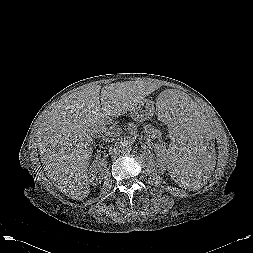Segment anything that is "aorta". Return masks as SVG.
<instances>
[{
  "label": "aorta",
  "instance_id": "aorta-1",
  "mask_svg": "<svg viewBox=\"0 0 253 253\" xmlns=\"http://www.w3.org/2000/svg\"><path fill=\"white\" fill-rule=\"evenodd\" d=\"M118 148H119L120 153L122 154H128L132 150L130 142L125 141V140L118 142Z\"/></svg>",
  "mask_w": 253,
  "mask_h": 253
}]
</instances>
